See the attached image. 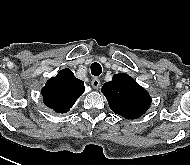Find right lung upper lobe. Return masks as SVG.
I'll use <instances>...</instances> for the list:
<instances>
[{
  "label": "right lung upper lobe",
  "instance_id": "obj_1",
  "mask_svg": "<svg viewBox=\"0 0 190 165\" xmlns=\"http://www.w3.org/2000/svg\"><path fill=\"white\" fill-rule=\"evenodd\" d=\"M84 82L69 69L61 70L42 88L43 102L57 113H66L84 92Z\"/></svg>",
  "mask_w": 190,
  "mask_h": 165
}]
</instances>
